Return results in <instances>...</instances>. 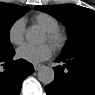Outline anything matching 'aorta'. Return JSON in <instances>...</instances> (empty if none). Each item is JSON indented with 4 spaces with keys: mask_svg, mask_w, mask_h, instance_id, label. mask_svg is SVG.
I'll return each instance as SVG.
<instances>
[{
    "mask_svg": "<svg viewBox=\"0 0 95 95\" xmlns=\"http://www.w3.org/2000/svg\"><path fill=\"white\" fill-rule=\"evenodd\" d=\"M26 40L29 42H35L39 39V34L36 29L34 28H29L26 31L25 34ZM38 79L41 83L48 85L53 82L54 80V70L51 67L48 66H42L38 70Z\"/></svg>",
    "mask_w": 95,
    "mask_h": 95,
    "instance_id": "aorta-1",
    "label": "aorta"
}]
</instances>
